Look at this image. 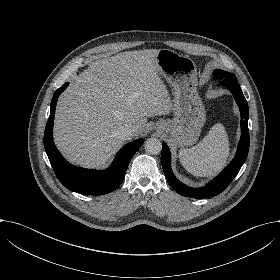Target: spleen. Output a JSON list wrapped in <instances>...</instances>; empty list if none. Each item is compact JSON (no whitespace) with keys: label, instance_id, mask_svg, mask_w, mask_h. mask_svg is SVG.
<instances>
[{"label":"spleen","instance_id":"obj_1","mask_svg":"<svg viewBox=\"0 0 280 280\" xmlns=\"http://www.w3.org/2000/svg\"><path fill=\"white\" fill-rule=\"evenodd\" d=\"M230 156V142L226 127L217 123L209 136L192 149H182L178 160L183 168L199 178L213 177L226 166Z\"/></svg>","mask_w":280,"mask_h":280}]
</instances>
